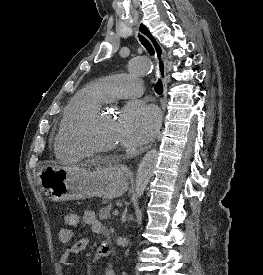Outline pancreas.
I'll use <instances>...</instances> for the list:
<instances>
[{
	"mask_svg": "<svg viewBox=\"0 0 263 275\" xmlns=\"http://www.w3.org/2000/svg\"><path fill=\"white\" fill-rule=\"evenodd\" d=\"M104 203H108V201L104 200ZM112 207L113 206L111 204H108L106 207L100 209L99 218L101 220H105V219L110 218L111 217L110 212H111Z\"/></svg>",
	"mask_w": 263,
	"mask_h": 275,
	"instance_id": "cf45deb5",
	"label": "pancreas"
}]
</instances>
